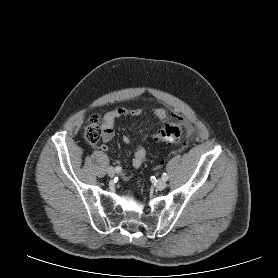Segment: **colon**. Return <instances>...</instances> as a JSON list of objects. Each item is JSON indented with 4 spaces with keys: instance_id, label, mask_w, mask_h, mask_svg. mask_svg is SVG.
I'll list each match as a JSON object with an SVG mask.
<instances>
[{
    "instance_id": "1",
    "label": "colon",
    "mask_w": 278,
    "mask_h": 278,
    "mask_svg": "<svg viewBox=\"0 0 278 278\" xmlns=\"http://www.w3.org/2000/svg\"><path fill=\"white\" fill-rule=\"evenodd\" d=\"M174 122L165 124L153 134V138L157 142H179L184 137V131L179 123V119L175 118ZM102 128L99 124L98 116H92L85 128L86 140L95 145L100 141L102 136Z\"/></svg>"
}]
</instances>
